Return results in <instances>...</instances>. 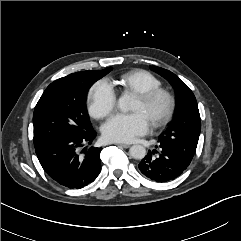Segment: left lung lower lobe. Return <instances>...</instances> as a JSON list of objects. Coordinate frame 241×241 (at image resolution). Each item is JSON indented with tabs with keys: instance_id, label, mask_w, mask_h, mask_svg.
<instances>
[{
	"instance_id": "obj_1",
	"label": "left lung lower lobe",
	"mask_w": 241,
	"mask_h": 241,
	"mask_svg": "<svg viewBox=\"0 0 241 241\" xmlns=\"http://www.w3.org/2000/svg\"><path fill=\"white\" fill-rule=\"evenodd\" d=\"M157 150L149 151L138 167L149 179L156 182H167L179 177L189 166L185 160L172 148L158 144ZM156 153V155H154Z\"/></svg>"
}]
</instances>
